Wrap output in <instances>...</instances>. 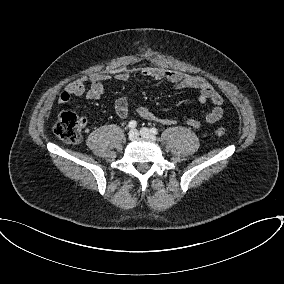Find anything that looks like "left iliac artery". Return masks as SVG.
<instances>
[{
	"mask_svg": "<svg viewBox=\"0 0 284 284\" xmlns=\"http://www.w3.org/2000/svg\"><path fill=\"white\" fill-rule=\"evenodd\" d=\"M150 131H151V133H153V134H158V130L155 128V127H152L151 129H150Z\"/></svg>",
	"mask_w": 284,
	"mask_h": 284,
	"instance_id": "obj_1",
	"label": "left iliac artery"
}]
</instances>
